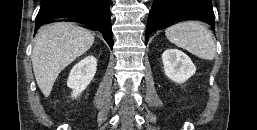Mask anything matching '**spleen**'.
<instances>
[{
	"label": "spleen",
	"mask_w": 257,
	"mask_h": 130,
	"mask_svg": "<svg viewBox=\"0 0 257 130\" xmlns=\"http://www.w3.org/2000/svg\"><path fill=\"white\" fill-rule=\"evenodd\" d=\"M167 39L204 60H213L215 43L207 27L198 21L181 22L165 31Z\"/></svg>",
	"instance_id": "spleen-1"
}]
</instances>
